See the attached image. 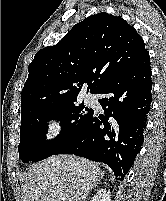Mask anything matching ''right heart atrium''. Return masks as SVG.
<instances>
[{
	"mask_svg": "<svg viewBox=\"0 0 166 201\" xmlns=\"http://www.w3.org/2000/svg\"><path fill=\"white\" fill-rule=\"evenodd\" d=\"M61 132V123L55 119H51L47 122V136L50 139H55Z\"/></svg>",
	"mask_w": 166,
	"mask_h": 201,
	"instance_id": "obj_1",
	"label": "right heart atrium"
}]
</instances>
